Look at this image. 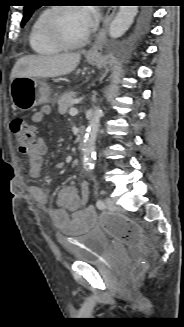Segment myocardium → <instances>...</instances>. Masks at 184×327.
<instances>
[{"label": "myocardium", "mask_w": 184, "mask_h": 327, "mask_svg": "<svg viewBox=\"0 0 184 327\" xmlns=\"http://www.w3.org/2000/svg\"><path fill=\"white\" fill-rule=\"evenodd\" d=\"M75 9V7L70 6H56L49 9L48 13L44 19V31L47 37L56 45L63 49H74L85 45L91 36V30L79 40L71 41L67 39L59 29L58 26V15L67 10Z\"/></svg>", "instance_id": "myocardium-1"}]
</instances>
